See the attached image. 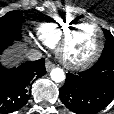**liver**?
<instances>
[{
    "label": "liver",
    "mask_w": 114,
    "mask_h": 114,
    "mask_svg": "<svg viewBox=\"0 0 114 114\" xmlns=\"http://www.w3.org/2000/svg\"><path fill=\"white\" fill-rule=\"evenodd\" d=\"M21 51H23L24 49L22 47H20Z\"/></svg>",
    "instance_id": "liver-1"
}]
</instances>
